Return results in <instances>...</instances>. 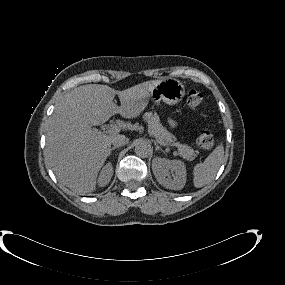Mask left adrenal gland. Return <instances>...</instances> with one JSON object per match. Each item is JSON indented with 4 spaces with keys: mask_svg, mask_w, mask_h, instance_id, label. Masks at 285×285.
<instances>
[{
    "mask_svg": "<svg viewBox=\"0 0 285 285\" xmlns=\"http://www.w3.org/2000/svg\"><path fill=\"white\" fill-rule=\"evenodd\" d=\"M155 150H162V148L155 142Z\"/></svg>",
    "mask_w": 285,
    "mask_h": 285,
    "instance_id": "left-adrenal-gland-1",
    "label": "left adrenal gland"
}]
</instances>
